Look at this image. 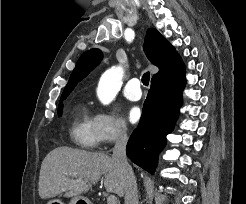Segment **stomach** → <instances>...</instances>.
Returning <instances> with one entry per match:
<instances>
[{
  "label": "stomach",
  "mask_w": 246,
  "mask_h": 204,
  "mask_svg": "<svg viewBox=\"0 0 246 204\" xmlns=\"http://www.w3.org/2000/svg\"><path fill=\"white\" fill-rule=\"evenodd\" d=\"M48 204H63V203L59 199H53L49 201ZM69 204H91V201L84 196H78V197H73Z\"/></svg>",
  "instance_id": "1"
}]
</instances>
